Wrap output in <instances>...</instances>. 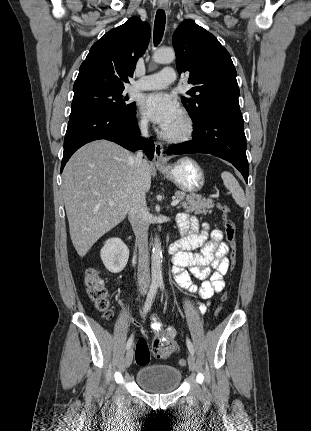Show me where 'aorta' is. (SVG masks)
<instances>
[{"mask_svg": "<svg viewBox=\"0 0 311 431\" xmlns=\"http://www.w3.org/2000/svg\"><path fill=\"white\" fill-rule=\"evenodd\" d=\"M156 64H171L175 60L174 50H156L152 56ZM152 283L163 281L162 275V249L159 235L154 237L151 253Z\"/></svg>", "mask_w": 311, "mask_h": 431, "instance_id": "aorta-1", "label": "aorta"}]
</instances>
